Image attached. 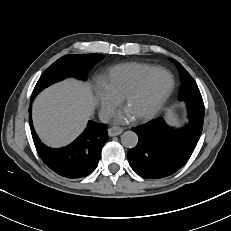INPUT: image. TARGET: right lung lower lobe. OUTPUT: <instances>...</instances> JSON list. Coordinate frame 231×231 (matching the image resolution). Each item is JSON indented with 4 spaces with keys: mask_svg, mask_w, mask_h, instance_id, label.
I'll return each mask as SVG.
<instances>
[{
    "mask_svg": "<svg viewBox=\"0 0 231 231\" xmlns=\"http://www.w3.org/2000/svg\"><path fill=\"white\" fill-rule=\"evenodd\" d=\"M29 121L36 150L52 171L60 176L74 179L86 177L95 170L101 157L102 147L108 140L107 125L90 121L85 131L73 143L64 148L52 149L39 142L32 125L31 104Z\"/></svg>",
    "mask_w": 231,
    "mask_h": 231,
    "instance_id": "right-lung-lower-lobe-1",
    "label": "right lung lower lobe"
}]
</instances>
